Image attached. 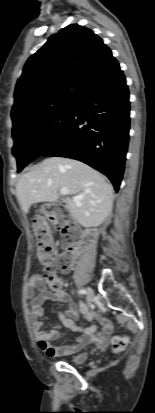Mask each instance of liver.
Here are the masks:
<instances>
[{
	"label": "liver",
	"mask_w": 155,
	"mask_h": 413,
	"mask_svg": "<svg viewBox=\"0 0 155 413\" xmlns=\"http://www.w3.org/2000/svg\"><path fill=\"white\" fill-rule=\"evenodd\" d=\"M66 187L68 195L79 200L64 199L72 217L84 227H97L110 215L113 187L90 166L74 159L51 157L23 174L16 186V195L24 213L33 204L55 202Z\"/></svg>",
	"instance_id": "liver-1"
}]
</instances>
